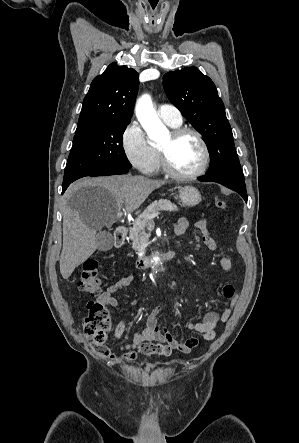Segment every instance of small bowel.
Returning <instances> with one entry per match:
<instances>
[{
	"instance_id": "1",
	"label": "small bowel",
	"mask_w": 299,
	"mask_h": 443,
	"mask_svg": "<svg viewBox=\"0 0 299 443\" xmlns=\"http://www.w3.org/2000/svg\"><path fill=\"white\" fill-rule=\"evenodd\" d=\"M187 226L188 222L184 218H180L175 226V233L177 235L184 234ZM196 227L202 234V240L205 246L209 250H216L217 244L207 229L206 220L200 219L197 221ZM219 263L221 268L226 271L231 270L233 267L232 260L226 255L220 256ZM133 280L134 276L132 274L121 277L99 294L97 302L116 308L119 305V302L117 298L114 297V294L130 285ZM221 295L223 298L229 300V304L225 306L221 312L211 311L208 312L200 322L186 323V327L189 330L200 333L205 341H211L215 338L217 326L229 319L237 301V294L232 284H224L221 288ZM135 303L136 300H133L131 306ZM161 311L162 307L160 305L154 306L147 316L146 326L137 331L133 335L132 341L128 343H117L127 325V320L125 318L120 321L115 330V345L120 351H122V354L119 357L121 360L131 362L136 359L137 353L140 351L171 355L174 351L190 353L198 346L199 340L196 337H189L180 341L165 326H163L159 322ZM147 343H150V345L144 347ZM107 357L113 358L114 356L109 353Z\"/></svg>"
}]
</instances>
